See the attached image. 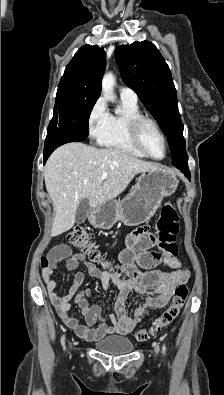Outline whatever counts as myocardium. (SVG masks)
Here are the masks:
<instances>
[{
	"label": "myocardium",
	"mask_w": 224,
	"mask_h": 395,
	"mask_svg": "<svg viewBox=\"0 0 224 395\" xmlns=\"http://www.w3.org/2000/svg\"><path fill=\"white\" fill-rule=\"evenodd\" d=\"M146 125H150L155 129V131L159 134V136L162 138L163 143H164V155L161 158H156L152 156L146 149L143 139H142V131ZM128 130H129V135L131 138L132 143L135 145L136 148H138L146 157L151 158L153 160H163L168 151V143L165 134L161 130L160 126L158 123L153 120L152 118L140 115L133 117L130 119L129 124H128Z\"/></svg>",
	"instance_id": "f54148a6"
}]
</instances>
